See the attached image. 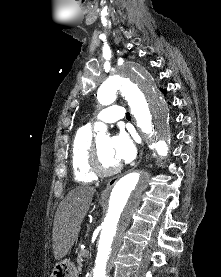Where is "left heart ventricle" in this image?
Instances as JSON below:
<instances>
[{
  "label": "left heart ventricle",
  "instance_id": "b2bd125f",
  "mask_svg": "<svg viewBox=\"0 0 221 277\" xmlns=\"http://www.w3.org/2000/svg\"><path fill=\"white\" fill-rule=\"evenodd\" d=\"M110 141L108 137H103L97 141L101 164L106 169L113 168L119 163L112 153Z\"/></svg>",
  "mask_w": 221,
  "mask_h": 277
}]
</instances>
